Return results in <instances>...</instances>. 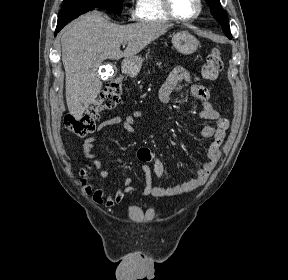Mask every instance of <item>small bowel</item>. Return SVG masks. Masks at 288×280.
<instances>
[{
  "label": "small bowel",
  "instance_id": "c3829d8e",
  "mask_svg": "<svg viewBox=\"0 0 288 280\" xmlns=\"http://www.w3.org/2000/svg\"><path fill=\"white\" fill-rule=\"evenodd\" d=\"M190 83V92L192 97L196 98L203 104V110L198 114L200 119L211 120L215 124L207 125L202 129V136L210 139V144L204 152L205 162L197 170L196 175L190 181L169 188H164L160 185V180L164 175V164L157 158L149 148L142 147L137 153V159L142 162V169L145 173L146 184L140 189L133 185V179L126 177L123 180V185L112 193L106 194L104 189H94L91 183L85 185V192L92 196V200L97 205H105L107 208H113L120 204L129 194H138L140 196H155V197H170L183 195L204 185L208 180L211 172L215 168L220 157V146L225 136V132L229 127L227 118L220 115L214 108L209 90L193 81L191 74L184 67H176L172 70L164 84L159 90V98L162 103L166 104L170 100V96L180 90L181 83ZM143 113L135 111L126 117L116 116L107 119L99 124L95 133L88 137L83 144L85 157L93 163L95 167L100 169L99 175L101 178H108L110 173L103 169L102 163L96 159L94 152L95 141L109 127L120 125L127 132L134 131L135 122L141 118ZM81 176L88 177L86 168L81 170Z\"/></svg>",
  "mask_w": 288,
  "mask_h": 280
}]
</instances>
